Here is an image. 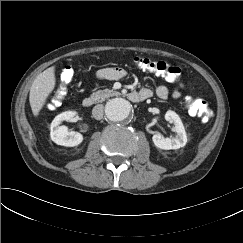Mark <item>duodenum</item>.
Listing matches in <instances>:
<instances>
[{
    "label": "duodenum",
    "instance_id": "1",
    "mask_svg": "<svg viewBox=\"0 0 243 243\" xmlns=\"http://www.w3.org/2000/svg\"><path fill=\"white\" fill-rule=\"evenodd\" d=\"M128 98H129L132 102H139V101H142V100L146 99V96L143 95V94L136 93V92H131V93L128 95ZM94 103H95V100H94L92 97H85V98L82 100V105H83V107H85V108H89V107L93 106Z\"/></svg>",
    "mask_w": 243,
    "mask_h": 243
}]
</instances>
